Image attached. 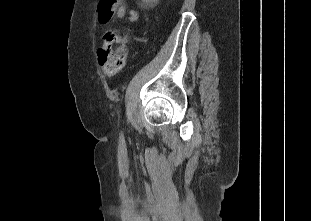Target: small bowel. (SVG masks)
Instances as JSON below:
<instances>
[{
    "label": "small bowel",
    "mask_w": 311,
    "mask_h": 221,
    "mask_svg": "<svg viewBox=\"0 0 311 221\" xmlns=\"http://www.w3.org/2000/svg\"><path fill=\"white\" fill-rule=\"evenodd\" d=\"M115 18L127 22H136L139 19V13L125 4H119L115 11Z\"/></svg>",
    "instance_id": "1"
}]
</instances>
